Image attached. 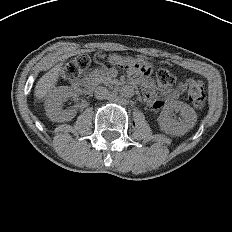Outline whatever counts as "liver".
<instances>
[{
    "mask_svg": "<svg viewBox=\"0 0 232 232\" xmlns=\"http://www.w3.org/2000/svg\"><path fill=\"white\" fill-rule=\"evenodd\" d=\"M61 70L62 64H57L38 80L34 90V96L37 100L43 99L52 90L58 81Z\"/></svg>",
    "mask_w": 232,
    "mask_h": 232,
    "instance_id": "obj_1",
    "label": "liver"
}]
</instances>
